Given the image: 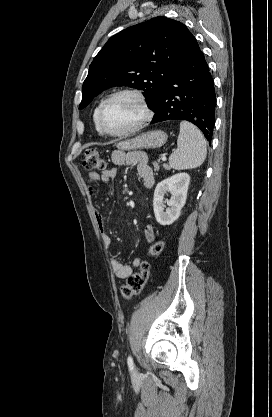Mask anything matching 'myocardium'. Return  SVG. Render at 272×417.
<instances>
[{"label": "myocardium", "instance_id": "obj_1", "mask_svg": "<svg viewBox=\"0 0 272 417\" xmlns=\"http://www.w3.org/2000/svg\"><path fill=\"white\" fill-rule=\"evenodd\" d=\"M132 96L134 97L139 104L141 105L142 111H143V116L141 118V120L136 123L135 125H133L132 127L124 130V131H120V132H110L108 130L105 129L104 125H103V114L104 111L106 109V107L109 105L110 102H112L114 99L120 97V96ZM153 117V111L150 107V104L147 100V98L145 97V95L138 89H132V88H127V89H121L118 90L114 93H112L111 95H109L101 104L99 111H98V115H97V125L99 128L100 133H102L105 136H109V137H124V136H128L131 135L139 130H141L143 127H145L148 122L152 119Z\"/></svg>", "mask_w": 272, "mask_h": 417}]
</instances>
